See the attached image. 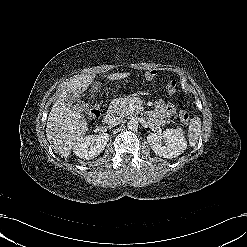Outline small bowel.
Returning <instances> with one entry per match:
<instances>
[{
    "label": "small bowel",
    "mask_w": 247,
    "mask_h": 247,
    "mask_svg": "<svg viewBox=\"0 0 247 247\" xmlns=\"http://www.w3.org/2000/svg\"><path fill=\"white\" fill-rule=\"evenodd\" d=\"M155 76V71L150 70L145 73L147 80L153 79ZM175 114V106L171 103H166L165 101H157L154 110L150 114V119L156 125H162L165 120L172 117Z\"/></svg>",
    "instance_id": "c3829d8e"
}]
</instances>
